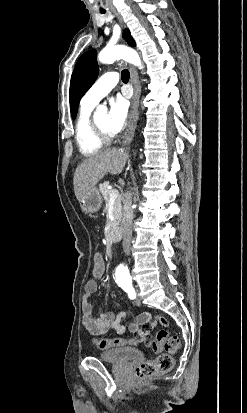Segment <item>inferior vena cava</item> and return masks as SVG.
Listing matches in <instances>:
<instances>
[{"label": "inferior vena cava", "instance_id": "inferior-vena-cava-1", "mask_svg": "<svg viewBox=\"0 0 247 413\" xmlns=\"http://www.w3.org/2000/svg\"><path fill=\"white\" fill-rule=\"evenodd\" d=\"M122 233H123V249L126 255L130 253L131 237H132V192L127 190L123 196V213H122Z\"/></svg>", "mask_w": 247, "mask_h": 413}]
</instances>
